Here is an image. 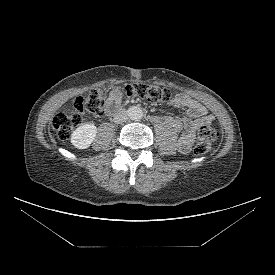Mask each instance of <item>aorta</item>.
<instances>
[{
    "instance_id": "obj_1",
    "label": "aorta",
    "mask_w": 275,
    "mask_h": 275,
    "mask_svg": "<svg viewBox=\"0 0 275 275\" xmlns=\"http://www.w3.org/2000/svg\"><path fill=\"white\" fill-rule=\"evenodd\" d=\"M128 116L130 119L138 121L143 117V111L139 106H131L128 109Z\"/></svg>"
}]
</instances>
